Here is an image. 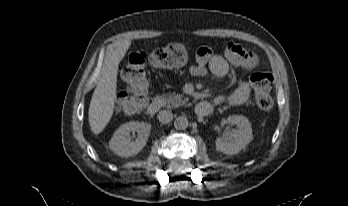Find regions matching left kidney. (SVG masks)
<instances>
[{
	"mask_svg": "<svg viewBox=\"0 0 348 206\" xmlns=\"http://www.w3.org/2000/svg\"><path fill=\"white\" fill-rule=\"evenodd\" d=\"M231 125H236L237 129L230 134L216 140V149L224 154L233 155L239 153L252 140V127L249 120L241 115H231L227 118Z\"/></svg>",
	"mask_w": 348,
	"mask_h": 206,
	"instance_id": "5707ae66",
	"label": "left kidney"
}]
</instances>
